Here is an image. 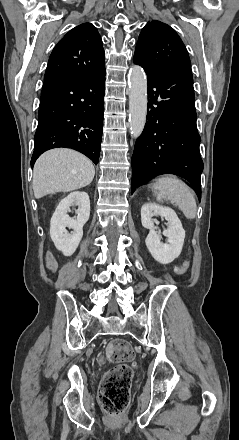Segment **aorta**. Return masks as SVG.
Masks as SVG:
<instances>
[{
    "label": "aorta",
    "instance_id": "obj_1",
    "mask_svg": "<svg viewBox=\"0 0 239 440\" xmlns=\"http://www.w3.org/2000/svg\"><path fill=\"white\" fill-rule=\"evenodd\" d=\"M129 112L131 132L134 138H139L147 116V80L140 66H132L130 70Z\"/></svg>",
    "mask_w": 239,
    "mask_h": 440
}]
</instances>
